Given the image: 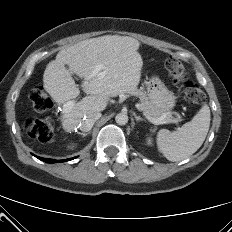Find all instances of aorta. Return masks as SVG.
Listing matches in <instances>:
<instances>
[{
  "label": "aorta",
  "instance_id": "762f6f07",
  "mask_svg": "<svg viewBox=\"0 0 232 232\" xmlns=\"http://www.w3.org/2000/svg\"><path fill=\"white\" fill-rule=\"evenodd\" d=\"M115 121L118 125H125L128 122V116L125 113H118L115 117Z\"/></svg>",
  "mask_w": 232,
  "mask_h": 232
}]
</instances>
